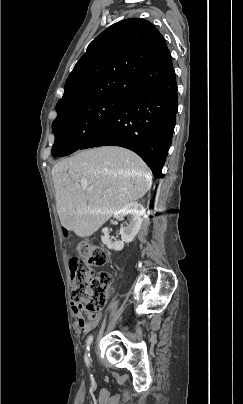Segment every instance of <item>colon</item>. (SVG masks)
I'll return each instance as SVG.
<instances>
[{"mask_svg": "<svg viewBox=\"0 0 243 404\" xmlns=\"http://www.w3.org/2000/svg\"><path fill=\"white\" fill-rule=\"evenodd\" d=\"M78 255L70 260V270L75 288L71 298L84 301L89 317L95 316L104 306L106 290L111 280L107 272L93 275V267L107 263L108 253L92 243L82 241L77 245Z\"/></svg>", "mask_w": 243, "mask_h": 404, "instance_id": "1", "label": "colon"}]
</instances>
